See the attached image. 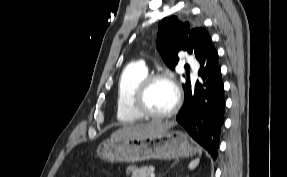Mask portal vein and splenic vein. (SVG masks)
<instances>
[{
	"instance_id": "1",
	"label": "portal vein and splenic vein",
	"mask_w": 287,
	"mask_h": 177,
	"mask_svg": "<svg viewBox=\"0 0 287 177\" xmlns=\"http://www.w3.org/2000/svg\"><path fill=\"white\" fill-rule=\"evenodd\" d=\"M149 176H150V177H155V175H154L153 173H151Z\"/></svg>"
}]
</instances>
